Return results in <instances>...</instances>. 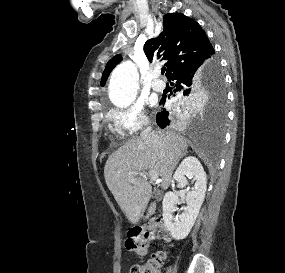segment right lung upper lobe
Masks as SVG:
<instances>
[{
    "mask_svg": "<svg viewBox=\"0 0 285 273\" xmlns=\"http://www.w3.org/2000/svg\"><path fill=\"white\" fill-rule=\"evenodd\" d=\"M144 52L150 62L154 59L167 60L166 76L169 78L172 73L186 65L204 57H214L215 50L204 30L194 19L181 13H172L164 16L163 31L160 35L146 41ZM121 60V55H117L108 62L101 86L105 85L110 72Z\"/></svg>",
    "mask_w": 285,
    "mask_h": 273,
    "instance_id": "cb5924a9",
    "label": "right lung upper lobe"
}]
</instances>
